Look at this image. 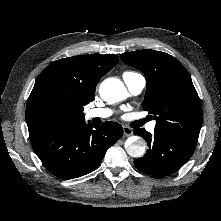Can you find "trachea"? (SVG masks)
Wrapping results in <instances>:
<instances>
[{
    "instance_id": "obj_1",
    "label": "trachea",
    "mask_w": 221,
    "mask_h": 221,
    "mask_svg": "<svg viewBox=\"0 0 221 221\" xmlns=\"http://www.w3.org/2000/svg\"><path fill=\"white\" fill-rule=\"evenodd\" d=\"M148 121V119H142V120H139V121H136L135 123V126L136 127H141L144 123H146Z\"/></svg>"
}]
</instances>
